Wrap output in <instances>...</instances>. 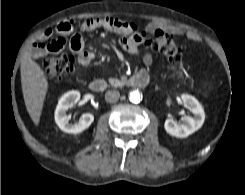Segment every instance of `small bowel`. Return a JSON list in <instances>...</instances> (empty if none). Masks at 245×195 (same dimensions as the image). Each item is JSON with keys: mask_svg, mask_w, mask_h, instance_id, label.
Segmentation results:
<instances>
[{"mask_svg": "<svg viewBox=\"0 0 245 195\" xmlns=\"http://www.w3.org/2000/svg\"><path fill=\"white\" fill-rule=\"evenodd\" d=\"M82 27L86 31H97L100 29L107 30L119 35L120 45L128 52L132 54H140L144 63L148 66L153 64V55L148 51L140 52L139 47L143 42L146 33H154L155 31H165L175 35H184L187 39L195 42L202 43V37L195 31L184 30L177 26H172L163 23H150L145 28V31H141L137 26L131 22L115 18V17H96L85 19L82 23ZM55 31L61 35V37L51 40L48 44L44 42L51 38L53 34L52 29H46L35 41L30 49V53L34 58H41L48 53L61 52L67 42L64 39L65 35H69L73 31L72 24L68 21L60 22L56 25ZM69 48L77 53L78 63L82 69H86L93 61L98 58V54L92 51L84 50L83 38L75 34L68 42Z\"/></svg>", "mask_w": 245, "mask_h": 195, "instance_id": "1", "label": "small bowel"}]
</instances>
